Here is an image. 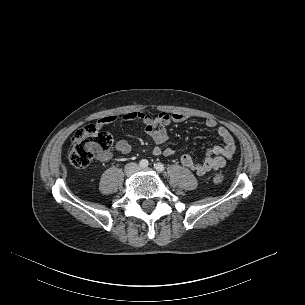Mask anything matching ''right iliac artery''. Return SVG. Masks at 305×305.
<instances>
[{
	"mask_svg": "<svg viewBox=\"0 0 305 305\" xmlns=\"http://www.w3.org/2000/svg\"><path fill=\"white\" fill-rule=\"evenodd\" d=\"M139 165H140L142 168H146V167L149 165V163H148V161H147L146 159H142V160L140 161Z\"/></svg>",
	"mask_w": 305,
	"mask_h": 305,
	"instance_id": "obj_1",
	"label": "right iliac artery"
}]
</instances>
